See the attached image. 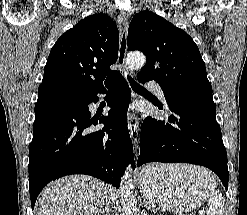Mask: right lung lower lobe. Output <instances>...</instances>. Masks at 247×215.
<instances>
[{
  "mask_svg": "<svg viewBox=\"0 0 247 215\" xmlns=\"http://www.w3.org/2000/svg\"><path fill=\"white\" fill-rule=\"evenodd\" d=\"M108 89L111 107L100 117L104 127L91 119L88 105ZM131 92L117 73L94 91L75 93L40 85L35 105L33 139L29 150V189L32 209L37 196L52 180L70 174H87L119 188L121 176L133 156L126 113Z\"/></svg>",
  "mask_w": 247,
  "mask_h": 215,
  "instance_id": "obj_1",
  "label": "right lung lower lobe"
}]
</instances>
